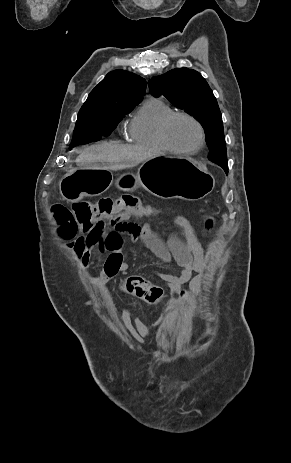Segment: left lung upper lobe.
Returning a JSON list of instances; mask_svg holds the SVG:
<instances>
[{"label":"left lung upper lobe","mask_w":291,"mask_h":463,"mask_svg":"<svg viewBox=\"0 0 291 463\" xmlns=\"http://www.w3.org/2000/svg\"><path fill=\"white\" fill-rule=\"evenodd\" d=\"M150 93L163 95L172 104L196 118L203 126L210 147L209 159L228 164L222 115L206 80L193 69L175 68L148 82Z\"/></svg>","instance_id":"1"}]
</instances>
